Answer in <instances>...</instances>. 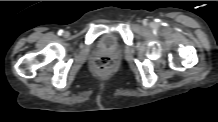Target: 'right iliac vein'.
Returning <instances> with one entry per match:
<instances>
[{
  "mask_svg": "<svg viewBox=\"0 0 218 122\" xmlns=\"http://www.w3.org/2000/svg\"><path fill=\"white\" fill-rule=\"evenodd\" d=\"M68 34H69L68 32H65V33H64L65 36H68Z\"/></svg>",
  "mask_w": 218,
  "mask_h": 122,
  "instance_id": "63e3f726",
  "label": "right iliac vein"
}]
</instances>
